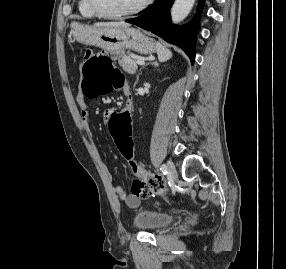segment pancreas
Here are the masks:
<instances>
[{
  "label": "pancreas",
  "mask_w": 286,
  "mask_h": 269,
  "mask_svg": "<svg viewBox=\"0 0 286 269\" xmlns=\"http://www.w3.org/2000/svg\"><path fill=\"white\" fill-rule=\"evenodd\" d=\"M119 64L123 70L129 74H134L137 71V61L130 55L122 56L119 60Z\"/></svg>",
  "instance_id": "pancreas-1"
}]
</instances>
